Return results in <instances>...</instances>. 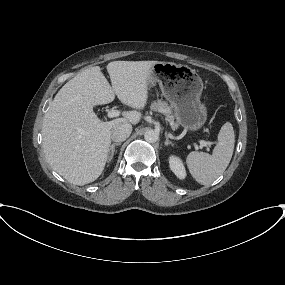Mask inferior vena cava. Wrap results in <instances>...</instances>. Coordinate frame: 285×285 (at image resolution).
<instances>
[{
	"label": "inferior vena cava",
	"mask_w": 285,
	"mask_h": 285,
	"mask_svg": "<svg viewBox=\"0 0 285 285\" xmlns=\"http://www.w3.org/2000/svg\"><path fill=\"white\" fill-rule=\"evenodd\" d=\"M132 126L129 123H119L113 126L110 135L114 142H123L131 134Z\"/></svg>",
	"instance_id": "602c4592"
}]
</instances>
